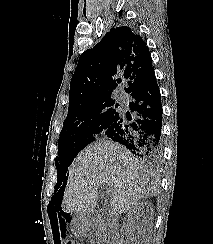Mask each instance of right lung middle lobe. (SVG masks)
Returning <instances> with one entry per match:
<instances>
[{"instance_id":"1","label":"right lung middle lobe","mask_w":213,"mask_h":244,"mask_svg":"<svg viewBox=\"0 0 213 244\" xmlns=\"http://www.w3.org/2000/svg\"><path fill=\"white\" fill-rule=\"evenodd\" d=\"M118 104L111 96L98 98L85 105L69 108L58 142V157L55 160L60 186L68 166L77 154L95 140L97 134L107 130L119 115Z\"/></svg>"}]
</instances>
